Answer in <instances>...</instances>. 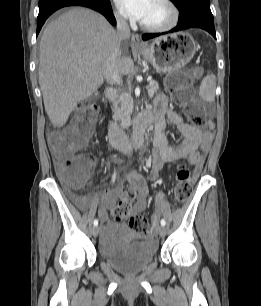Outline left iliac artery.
Returning a JSON list of instances; mask_svg holds the SVG:
<instances>
[{
  "label": "left iliac artery",
  "instance_id": "44dca946",
  "mask_svg": "<svg viewBox=\"0 0 261 306\" xmlns=\"http://www.w3.org/2000/svg\"><path fill=\"white\" fill-rule=\"evenodd\" d=\"M160 223H161L162 226H165V224H166L164 219H161Z\"/></svg>",
  "mask_w": 261,
  "mask_h": 306
}]
</instances>
